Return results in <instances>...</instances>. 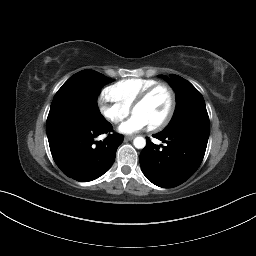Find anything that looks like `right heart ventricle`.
Segmentation results:
<instances>
[{
	"label": "right heart ventricle",
	"mask_w": 256,
	"mask_h": 256,
	"mask_svg": "<svg viewBox=\"0 0 256 256\" xmlns=\"http://www.w3.org/2000/svg\"><path fill=\"white\" fill-rule=\"evenodd\" d=\"M157 83L158 81L153 79H124L110 86L106 92L115 101L131 108L134 101L144 90Z\"/></svg>",
	"instance_id": "obj_1"
}]
</instances>
